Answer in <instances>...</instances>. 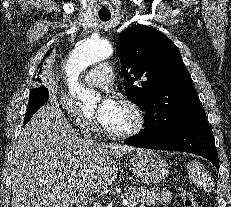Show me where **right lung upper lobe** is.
I'll return each mask as SVG.
<instances>
[{
  "label": "right lung upper lobe",
  "instance_id": "1",
  "mask_svg": "<svg viewBox=\"0 0 231 207\" xmlns=\"http://www.w3.org/2000/svg\"><path fill=\"white\" fill-rule=\"evenodd\" d=\"M51 51H52V49H50V50L46 53V55L44 56L42 62L45 60L46 57H48V56L50 55ZM38 70H39V72H38V74H39V73L42 71V63L39 64V66H38V68H37V71H38ZM36 80H38V77L36 78Z\"/></svg>",
  "mask_w": 231,
  "mask_h": 207
}]
</instances>
